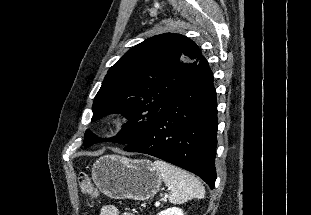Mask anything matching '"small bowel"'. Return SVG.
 Instances as JSON below:
<instances>
[{
	"mask_svg": "<svg viewBox=\"0 0 311 215\" xmlns=\"http://www.w3.org/2000/svg\"><path fill=\"white\" fill-rule=\"evenodd\" d=\"M99 215H120L118 209L113 205H105L101 208ZM121 215H134L130 212H125Z\"/></svg>",
	"mask_w": 311,
	"mask_h": 215,
	"instance_id": "c3829d8e",
	"label": "small bowel"
}]
</instances>
